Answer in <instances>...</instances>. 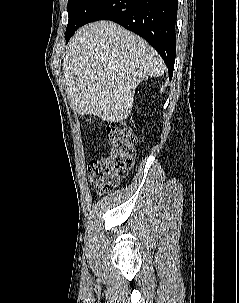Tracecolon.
Segmentation results:
<instances>
[{
    "mask_svg": "<svg viewBox=\"0 0 239 303\" xmlns=\"http://www.w3.org/2000/svg\"><path fill=\"white\" fill-rule=\"evenodd\" d=\"M110 153L93 161L88 168L90 182L98 194L113 190L134 164L136 138L127 127L109 128Z\"/></svg>",
    "mask_w": 239,
    "mask_h": 303,
    "instance_id": "1",
    "label": "colon"
}]
</instances>
